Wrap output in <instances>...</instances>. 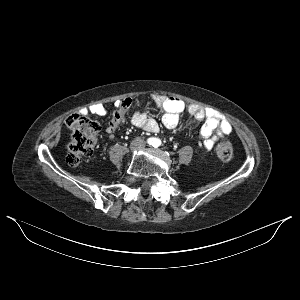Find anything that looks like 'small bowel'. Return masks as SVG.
Returning a JSON list of instances; mask_svg holds the SVG:
<instances>
[{
    "label": "small bowel",
    "instance_id": "small-bowel-1",
    "mask_svg": "<svg viewBox=\"0 0 300 300\" xmlns=\"http://www.w3.org/2000/svg\"><path fill=\"white\" fill-rule=\"evenodd\" d=\"M154 104L163 109V125L172 129L178 126L180 113L186 111L194 122H203L201 134L206 149L211 150L218 140L232 133L231 123L223 118L216 110L197 104H186L174 96L157 95L153 98ZM87 112L106 116L108 109L104 104H94L87 108ZM130 122L147 132L155 133L159 130L157 121L142 111H135L130 116Z\"/></svg>",
    "mask_w": 300,
    "mask_h": 300
}]
</instances>
